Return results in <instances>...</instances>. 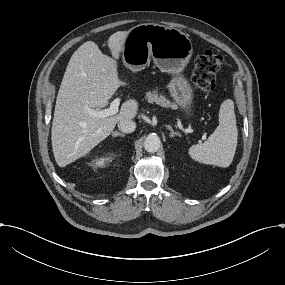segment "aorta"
Instances as JSON below:
<instances>
[{"label": "aorta", "mask_w": 285, "mask_h": 285, "mask_svg": "<svg viewBox=\"0 0 285 285\" xmlns=\"http://www.w3.org/2000/svg\"><path fill=\"white\" fill-rule=\"evenodd\" d=\"M161 141L156 134H149L144 142V148L149 153H155L160 148Z\"/></svg>", "instance_id": "obj_1"}]
</instances>
